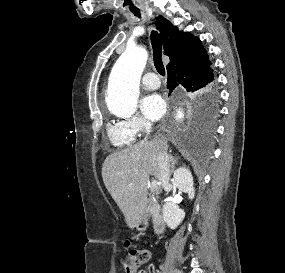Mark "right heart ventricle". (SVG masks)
Returning <instances> with one entry per match:
<instances>
[{"mask_svg":"<svg viewBox=\"0 0 285 273\" xmlns=\"http://www.w3.org/2000/svg\"><path fill=\"white\" fill-rule=\"evenodd\" d=\"M106 130L111 144L116 148H126L134 142L135 137L129 134L120 122L108 123Z\"/></svg>","mask_w":285,"mask_h":273,"instance_id":"1","label":"right heart ventricle"}]
</instances>
